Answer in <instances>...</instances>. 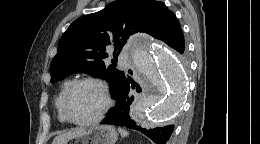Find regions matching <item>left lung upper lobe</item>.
<instances>
[{"label": "left lung upper lobe", "mask_w": 260, "mask_h": 144, "mask_svg": "<svg viewBox=\"0 0 260 144\" xmlns=\"http://www.w3.org/2000/svg\"><path fill=\"white\" fill-rule=\"evenodd\" d=\"M181 30L175 14L155 0H118L99 12L75 20L62 35L50 65L51 82L74 73L105 79L111 95L126 78L114 64L105 65V47L114 45V59L130 35L143 32L166 44ZM118 52L116 53V51ZM114 59L111 60L113 63Z\"/></svg>", "instance_id": "obj_1"}]
</instances>
